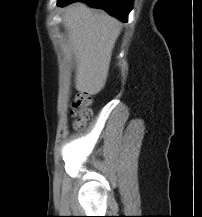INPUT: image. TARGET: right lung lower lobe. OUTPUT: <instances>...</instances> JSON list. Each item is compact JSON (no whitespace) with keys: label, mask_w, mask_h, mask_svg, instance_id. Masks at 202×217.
<instances>
[{"label":"right lung lower lobe","mask_w":202,"mask_h":217,"mask_svg":"<svg viewBox=\"0 0 202 217\" xmlns=\"http://www.w3.org/2000/svg\"><path fill=\"white\" fill-rule=\"evenodd\" d=\"M74 2H84L94 8L104 9L119 20L127 22L133 0H57V5L62 7Z\"/></svg>","instance_id":"right-lung-lower-lobe-1"}]
</instances>
